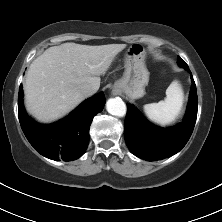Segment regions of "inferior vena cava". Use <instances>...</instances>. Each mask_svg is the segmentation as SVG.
I'll list each match as a JSON object with an SVG mask.
<instances>
[{
	"mask_svg": "<svg viewBox=\"0 0 222 222\" xmlns=\"http://www.w3.org/2000/svg\"><path fill=\"white\" fill-rule=\"evenodd\" d=\"M96 91H97L96 88L90 84H83L80 87V92L85 97L93 95Z\"/></svg>",
	"mask_w": 222,
	"mask_h": 222,
	"instance_id": "inferior-vena-cava-1",
	"label": "inferior vena cava"
}]
</instances>
